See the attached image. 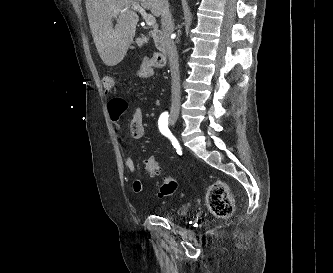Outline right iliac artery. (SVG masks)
I'll return each instance as SVG.
<instances>
[{"instance_id":"82829eb1","label":"right iliac artery","mask_w":333,"mask_h":273,"mask_svg":"<svg viewBox=\"0 0 333 273\" xmlns=\"http://www.w3.org/2000/svg\"><path fill=\"white\" fill-rule=\"evenodd\" d=\"M168 117V112H163L158 120V128L160 132L167 137L171 135V132L168 128Z\"/></svg>"}]
</instances>
